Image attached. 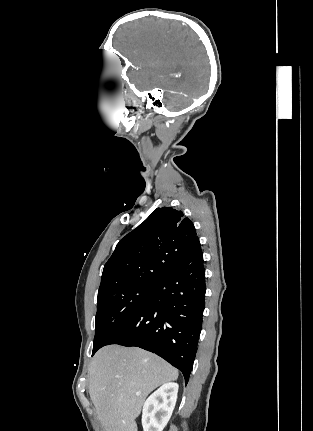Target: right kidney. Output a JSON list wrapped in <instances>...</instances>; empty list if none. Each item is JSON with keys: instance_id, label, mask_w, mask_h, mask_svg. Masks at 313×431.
I'll use <instances>...</instances> for the list:
<instances>
[{"instance_id": "ca27d5eb", "label": "right kidney", "mask_w": 313, "mask_h": 431, "mask_svg": "<svg viewBox=\"0 0 313 431\" xmlns=\"http://www.w3.org/2000/svg\"><path fill=\"white\" fill-rule=\"evenodd\" d=\"M178 384L168 382L151 394L143 405V431H163L174 410Z\"/></svg>"}]
</instances>
